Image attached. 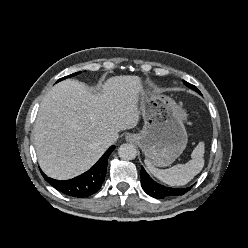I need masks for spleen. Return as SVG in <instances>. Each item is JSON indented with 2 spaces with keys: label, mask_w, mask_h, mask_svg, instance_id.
Returning a JSON list of instances; mask_svg holds the SVG:
<instances>
[{
  "label": "spleen",
  "mask_w": 248,
  "mask_h": 248,
  "mask_svg": "<svg viewBox=\"0 0 248 248\" xmlns=\"http://www.w3.org/2000/svg\"><path fill=\"white\" fill-rule=\"evenodd\" d=\"M204 152V143L199 142L191 154L192 160L185 164H177L165 170L156 168L148 160H145V164L149 171L162 182L170 186H183L202 170L204 166Z\"/></svg>",
  "instance_id": "spleen-1"
}]
</instances>
